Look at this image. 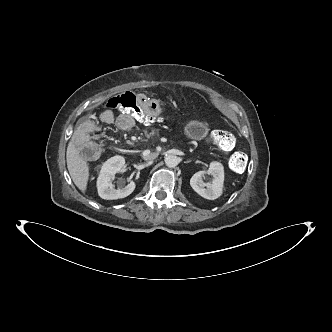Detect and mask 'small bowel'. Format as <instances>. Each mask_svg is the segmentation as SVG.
<instances>
[{
    "label": "small bowel",
    "instance_id": "obj_1",
    "mask_svg": "<svg viewBox=\"0 0 332 332\" xmlns=\"http://www.w3.org/2000/svg\"><path fill=\"white\" fill-rule=\"evenodd\" d=\"M136 103L144 112L152 114L155 117H160L164 113L163 106L145 94L138 95L136 98ZM101 120L104 123L111 122L113 125H117L121 130L127 131L131 130L135 126L137 119L131 117L128 114H122L118 112L110 113L106 111L101 115Z\"/></svg>",
    "mask_w": 332,
    "mask_h": 332
}]
</instances>
